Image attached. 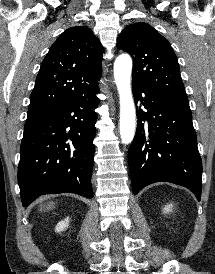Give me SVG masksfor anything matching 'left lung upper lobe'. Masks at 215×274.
<instances>
[{"mask_svg":"<svg viewBox=\"0 0 215 274\" xmlns=\"http://www.w3.org/2000/svg\"><path fill=\"white\" fill-rule=\"evenodd\" d=\"M117 48L133 58V82L189 105L177 57L168 40L152 26L142 22L126 26L117 39Z\"/></svg>","mask_w":215,"mask_h":274,"instance_id":"obj_1","label":"left lung upper lobe"}]
</instances>
